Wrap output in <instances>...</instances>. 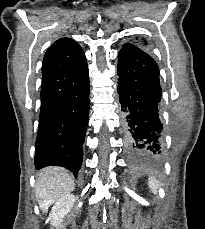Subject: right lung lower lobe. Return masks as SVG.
I'll return each mask as SVG.
<instances>
[{
	"instance_id": "obj_1",
	"label": "right lung lower lobe",
	"mask_w": 205,
	"mask_h": 229,
	"mask_svg": "<svg viewBox=\"0 0 205 229\" xmlns=\"http://www.w3.org/2000/svg\"><path fill=\"white\" fill-rule=\"evenodd\" d=\"M89 71L86 60L68 68L50 47L42 64L41 110L35 167L62 166L77 177L88 125Z\"/></svg>"
}]
</instances>
